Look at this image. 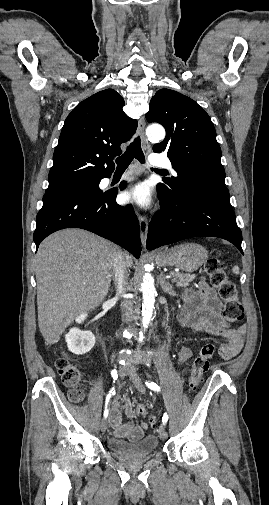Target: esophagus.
Returning <instances> with one entry per match:
<instances>
[{
  "instance_id": "1",
  "label": "esophagus",
  "mask_w": 269,
  "mask_h": 505,
  "mask_svg": "<svg viewBox=\"0 0 269 505\" xmlns=\"http://www.w3.org/2000/svg\"><path fill=\"white\" fill-rule=\"evenodd\" d=\"M138 132L141 137L143 146L145 148H148L149 144H148L147 138L145 136V119H144V117H141L138 121ZM138 220H139L141 241H142V244L145 246L146 240H147V234H148L147 218L145 216L139 214Z\"/></svg>"
}]
</instances>
